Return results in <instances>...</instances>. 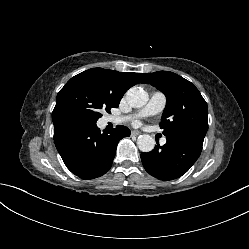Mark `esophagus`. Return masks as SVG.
Segmentation results:
<instances>
[{"mask_svg":"<svg viewBox=\"0 0 249 249\" xmlns=\"http://www.w3.org/2000/svg\"><path fill=\"white\" fill-rule=\"evenodd\" d=\"M131 134L134 135V136H138V135L141 134V132L138 131V130H132V131H131Z\"/></svg>","mask_w":249,"mask_h":249,"instance_id":"34e87169","label":"esophagus"}]
</instances>
